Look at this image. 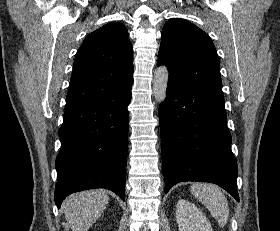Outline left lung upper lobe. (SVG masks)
<instances>
[{"instance_id":"obj_1","label":"left lung upper lobe","mask_w":280,"mask_h":231,"mask_svg":"<svg viewBox=\"0 0 280 231\" xmlns=\"http://www.w3.org/2000/svg\"><path fill=\"white\" fill-rule=\"evenodd\" d=\"M158 65L169 70V82L222 90L219 58L208 35L194 24L171 19L163 27Z\"/></svg>"}]
</instances>
